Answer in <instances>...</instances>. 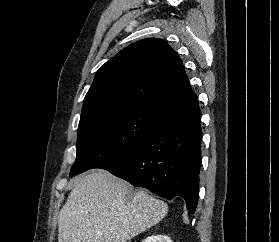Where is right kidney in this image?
Here are the masks:
<instances>
[{
	"mask_svg": "<svg viewBox=\"0 0 279 242\" xmlns=\"http://www.w3.org/2000/svg\"><path fill=\"white\" fill-rule=\"evenodd\" d=\"M142 242H173V241L166 235H152L147 237Z\"/></svg>",
	"mask_w": 279,
	"mask_h": 242,
	"instance_id": "1",
	"label": "right kidney"
}]
</instances>
